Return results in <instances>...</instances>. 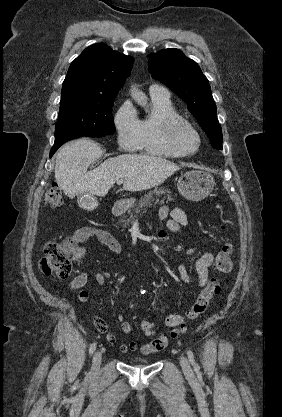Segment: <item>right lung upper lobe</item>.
<instances>
[{
	"mask_svg": "<svg viewBox=\"0 0 282 417\" xmlns=\"http://www.w3.org/2000/svg\"><path fill=\"white\" fill-rule=\"evenodd\" d=\"M134 59L104 43L86 48L70 65L62 94L75 92L118 93L130 75Z\"/></svg>",
	"mask_w": 282,
	"mask_h": 417,
	"instance_id": "obj_1",
	"label": "right lung upper lobe"
}]
</instances>
